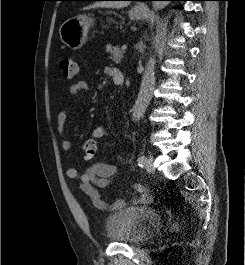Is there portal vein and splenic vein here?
I'll list each match as a JSON object with an SVG mask.
<instances>
[{"label": "portal vein and splenic vein", "instance_id": "18ae733b", "mask_svg": "<svg viewBox=\"0 0 245 265\" xmlns=\"http://www.w3.org/2000/svg\"><path fill=\"white\" fill-rule=\"evenodd\" d=\"M127 49V46L126 45H123L122 47H121V50L122 51H125Z\"/></svg>", "mask_w": 245, "mask_h": 265}]
</instances>
